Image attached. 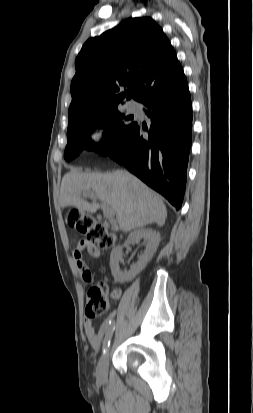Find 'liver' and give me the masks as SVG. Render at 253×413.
<instances>
[{"label": "liver", "mask_w": 253, "mask_h": 413, "mask_svg": "<svg viewBox=\"0 0 253 413\" xmlns=\"http://www.w3.org/2000/svg\"><path fill=\"white\" fill-rule=\"evenodd\" d=\"M89 191L116 213L123 232L152 223L158 226L165 224L167 210L162 198L126 170L99 174L72 169L61 182L60 206L72 205L81 211L96 213L99 204H89L81 197Z\"/></svg>", "instance_id": "obj_1"}]
</instances>
